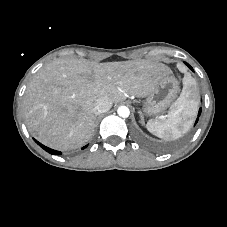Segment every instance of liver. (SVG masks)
<instances>
[{
    "mask_svg": "<svg viewBox=\"0 0 227 227\" xmlns=\"http://www.w3.org/2000/svg\"><path fill=\"white\" fill-rule=\"evenodd\" d=\"M171 73L166 65L151 60H55L34 75L25 91L26 125L33 136L51 148H79L93 135V109L98 99L108 97L112 103H119L127 95L146 97Z\"/></svg>",
    "mask_w": 227,
    "mask_h": 227,
    "instance_id": "obj_1",
    "label": "liver"
}]
</instances>
